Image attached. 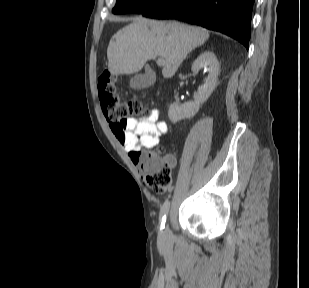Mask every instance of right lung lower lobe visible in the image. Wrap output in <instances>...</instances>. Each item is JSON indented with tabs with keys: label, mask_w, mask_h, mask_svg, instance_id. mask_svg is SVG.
<instances>
[{
	"label": "right lung lower lobe",
	"mask_w": 309,
	"mask_h": 288,
	"mask_svg": "<svg viewBox=\"0 0 309 288\" xmlns=\"http://www.w3.org/2000/svg\"><path fill=\"white\" fill-rule=\"evenodd\" d=\"M255 0H164L142 13L145 17L179 19L222 32L247 49Z\"/></svg>",
	"instance_id": "right-lung-lower-lobe-1"
}]
</instances>
